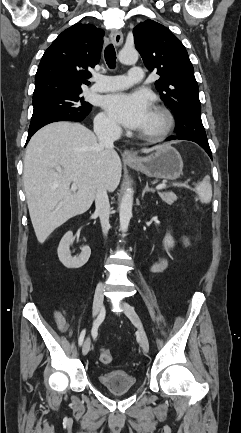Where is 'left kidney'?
<instances>
[{
	"instance_id": "obj_1",
	"label": "left kidney",
	"mask_w": 241,
	"mask_h": 433,
	"mask_svg": "<svg viewBox=\"0 0 241 433\" xmlns=\"http://www.w3.org/2000/svg\"><path fill=\"white\" fill-rule=\"evenodd\" d=\"M163 245L165 248H173L174 240L170 233H167L163 240Z\"/></svg>"
}]
</instances>
